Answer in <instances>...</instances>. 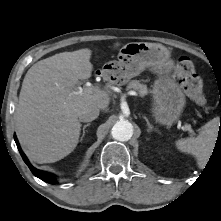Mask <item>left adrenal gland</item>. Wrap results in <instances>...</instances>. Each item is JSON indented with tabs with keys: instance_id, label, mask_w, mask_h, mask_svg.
Here are the masks:
<instances>
[{
	"instance_id": "a2214340",
	"label": "left adrenal gland",
	"mask_w": 221,
	"mask_h": 221,
	"mask_svg": "<svg viewBox=\"0 0 221 221\" xmlns=\"http://www.w3.org/2000/svg\"><path fill=\"white\" fill-rule=\"evenodd\" d=\"M143 118L145 119V121L147 123V126H148V130L147 131L148 132L155 131V132L159 133V131L150 124L149 120L145 116Z\"/></svg>"
}]
</instances>
